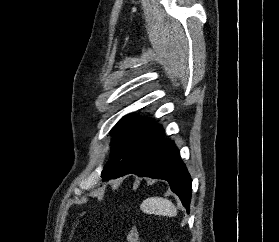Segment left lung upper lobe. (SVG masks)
I'll return each mask as SVG.
<instances>
[{"label": "left lung upper lobe", "mask_w": 279, "mask_h": 242, "mask_svg": "<svg viewBox=\"0 0 279 242\" xmlns=\"http://www.w3.org/2000/svg\"><path fill=\"white\" fill-rule=\"evenodd\" d=\"M112 131V152L102 172L105 180L120 177L133 162L164 139L161 125L130 115L123 117Z\"/></svg>", "instance_id": "1"}]
</instances>
